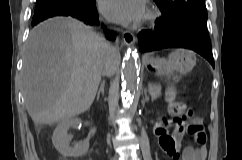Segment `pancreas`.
Segmentation results:
<instances>
[{"mask_svg": "<svg viewBox=\"0 0 242 160\" xmlns=\"http://www.w3.org/2000/svg\"><path fill=\"white\" fill-rule=\"evenodd\" d=\"M149 92L152 99H156L161 95V86L159 84H150L149 85Z\"/></svg>", "mask_w": 242, "mask_h": 160, "instance_id": "cf45deb5", "label": "pancreas"}]
</instances>
